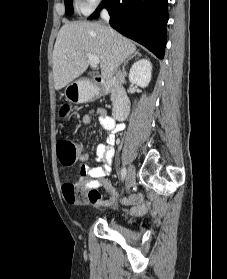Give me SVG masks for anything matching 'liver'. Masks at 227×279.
Returning <instances> with one entry per match:
<instances>
[{
  "label": "liver",
  "mask_w": 227,
  "mask_h": 279,
  "mask_svg": "<svg viewBox=\"0 0 227 279\" xmlns=\"http://www.w3.org/2000/svg\"><path fill=\"white\" fill-rule=\"evenodd\" d=\"M135 52L132 41L103 23H66L58 33L52 55L54 87L64 88L87 70V53L99 58L102 77L110 79Z\"/></svg>",
  "instance_id": "obj_1"
}]
</instances>
